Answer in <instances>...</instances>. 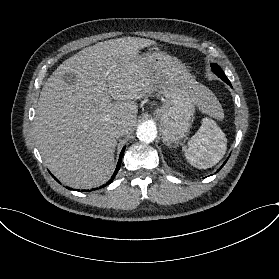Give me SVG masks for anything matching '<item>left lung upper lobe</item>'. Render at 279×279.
Wrapping results in <instances>:
<instances>
[{
  "label": "left lung upper lobe",
  "instance_id": "1",
  "mask_svg": "<svg viewBox=\"0 0 279 279\" xmlns=\"http://www.w3.org/2000/svg\"><path fill=\"white\" fill-rule=\"evenodd\" d=\"M211 68L212 70L216 73V75L218 77H220L223 81H225L227 84L231 85L230 81L228 80V78L226 77L225 73L223 72V70L220 68L219 65L217 64H211Z\"/></svg>",
  "mask_w": 279,
  "mask_h": 279
}]
</instances>
